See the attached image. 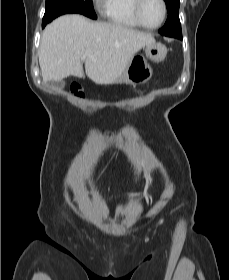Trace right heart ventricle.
Here are the masks:
<instances>
[{
  "label": "right heart ventricle",
  "mask_w": 229,
  "mask_h": 280,
  "mask_svg": "<svg viewBox=\"0 0 229 280\" xmlns=\"http://www.w3.org/2000/svg\"><path fill=\"white\" fill-rule=\"evenodd\" d=\"M134 0H106L103 7L105 20L117 27L140 28L133 15Z\"/></svg>",
  "instance_id": "e07e8e85"
}]
</instances>
